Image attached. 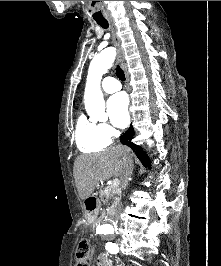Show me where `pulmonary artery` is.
Instances as JSON below:
<instances>
[{
	"instance_id": "pulmonary-artery-1",
	"label": "pulmonary artery",
	"mask_w": 221,
	"mask_h": 266,
	"mask_svg": "<svg viewBox=\"0 0 221 266\" xmlns=\"http://www.w3.org/2000/svg\"><path fill=\"white\" fill-rule=\"evenodd\" d=\"M101 88L106 93H114L121 89V84L113 77H105L101 83Z\"/></svg>"
}]
</instances>
